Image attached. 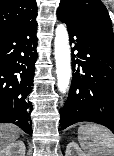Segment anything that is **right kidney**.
<instances>
[{
    "label": "right kidney",
    "instance_id": "ca27d5eb",
    "mask_svg": "<svg viewBox=\"0 0 114 156\" xmlns=\"http://www.w3.org/2000/svg\"><path fill=\"white\" fill-rule=\"evenodd\" d=\"M25 144L18 140L10 143L0 151V156H25Z\"/></svg>",
    "mask_w": 114,
    "mask_h": 156
}]
</instances>
